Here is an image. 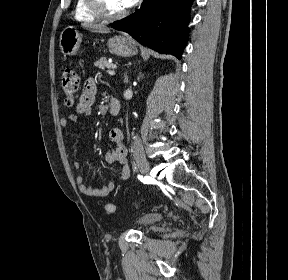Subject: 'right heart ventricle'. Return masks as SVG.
I'll return each instance as SVG.
<instances>
[{
    "label": "right heart ventricle",
    "mask_w": 288,
    "mask_h": 280,
    "mask_svg": "<svg viewBox=\"0 0 288 280\" xmlns=\"http://www.w3.org/2000/svg\"><path fill=\"white\" fill-rule=\"evenodd\" d=\"M74 16L76 20L81 22L93 23L98 20V18L90 12L86 0H76Z\"/></svg>",
    "instance_id": "1"
}]
</instances>
